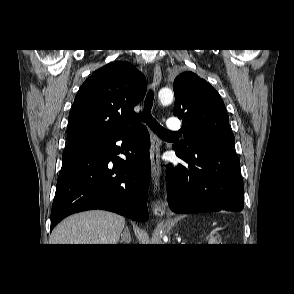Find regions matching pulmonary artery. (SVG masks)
<instances>
[{"mask_svg": "<svg viewBox=\"0 0 294 294\" xmlns=\"http://www.w3.org/2000/svg\"><path fill=\"white\" fill-rule=\"evenodd\" d=\"M168 127L171 130H180L182 128V123L175 117H171L168 122Z\"/></svg>", "mask_w": 294, "mask_h": 294, "instance_id": "obj_1", "label": "pulmonary artery"}]
</instances>
